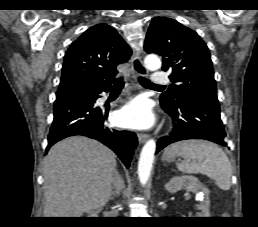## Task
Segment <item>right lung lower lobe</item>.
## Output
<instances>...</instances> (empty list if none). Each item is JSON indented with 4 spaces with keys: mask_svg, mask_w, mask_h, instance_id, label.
Wrapping results in <instances>:
<instances>
[{
    "mask_svg": "<svg viewBox=\"0 0 258 227\" xmlns=\"http://www.w3.org/2000/svg\"><path fill=\"white\" fill-rule=\"evenodd\" d=\"M111 85L83 84L58 98L54 103V120L48 135L49 148L56 142L73 135L97 139L112 149L128 168L137 138L133 132L109 129L104 123L108 112L95 107V101Z\"/></svg>",
    "mask_w": 258,
    "mask_h": 227,
    "instance_id": "obj_1",
    "label": "right lung lower lobe"
}]
</instances>
